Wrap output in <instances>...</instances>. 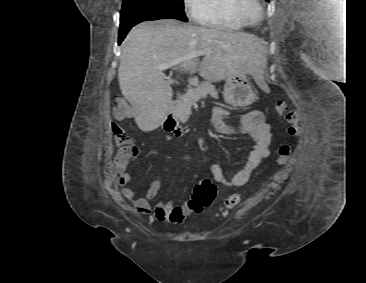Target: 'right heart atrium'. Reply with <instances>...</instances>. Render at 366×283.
<instances>
[{"label":"right heart atrium","instance_id":"obj_1","mask_svg":"<svg viewBox=\"0 0 366 283\" xmlns=\"http://www.w3.org/2000/svg\"><path fill=\"white\" fill-rule=\"evenodd\" d=\"M205 1L206 0H182V3L186 13L191 18L198 21L203 14Z\"/></svg>","mask_w":366,"mask_h":283}]
</instances>
